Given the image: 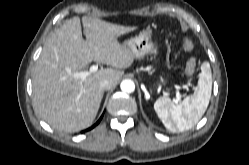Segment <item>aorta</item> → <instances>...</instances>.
Instances as JSON below:
<instances>
[{"mask_svg": "<svg viewBox=\"0 0 249 165\" xmlns=\"http://www.w3.org/2000/svg\"><path fill=\"white\" fill-rule=\"evenodd\" d=\"M120 88L125 93H132L135 90V84L130 79H125L121 82Z\"/></svg>", "mask_w": 249, "mask_h": 165, "instance_id": "762f6f07", "label": "aorta"}]
</instances>
